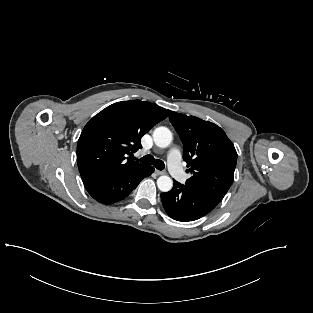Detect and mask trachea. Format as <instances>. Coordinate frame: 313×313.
Instances as JSON below:
<instances>
[{"label":"trachea","mask_w":313,"mask_h":313,"mask_svg":"<svg viewBox=\"0 0 313 313\" xmlns=\"http://www.w3.org/2000/svg\"><path fill=\"white\" fill-rule=\"evenodd\" d=\"M139 161L143 164L153 165L158 170H163L165 168L164 162L159 159L155 160L152 155H146L139 159Z\"/></svg>","instance_id":"trachea-1"}]
</instances>
